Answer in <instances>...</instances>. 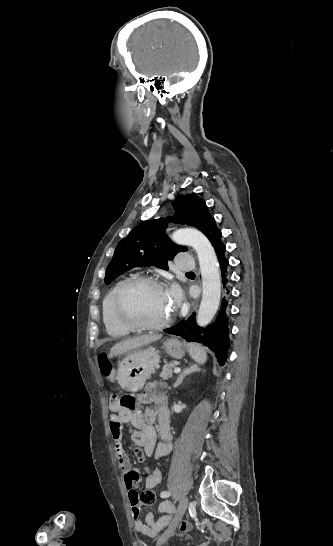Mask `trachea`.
<instances>
[{
  "label": "trachea",
  "mask_w": 333,
  "mask_h": 546,
  "mask_svg": "<svg viewBox=\"0 0 333 546\" xmlns=\"http://www.w3.org/2000/svg\"><path fill=\"white\" fill-rule=\"evenodd\" d=\"M187 274H193V272H188Z\"/></svg>",
  "instance_id": "trachea-1"
}]
</instances>
